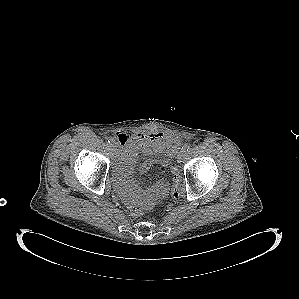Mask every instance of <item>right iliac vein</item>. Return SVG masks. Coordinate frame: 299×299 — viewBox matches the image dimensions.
Masks as SVG:
<instances>
[{"label":"right iliac vein","instance_id":"1","mask_svg":"<svg viewBox=\"0 0 299 299\" xmlns=\"http://www.w3.org/2000/svg\"><path fill=\"white\" fill-rule=\"evenodd\" d=\"M112 146H113V148H115L116 147V143H113Z\"/></svg>","mask_w":299,"mask_h":299}]
</instances>
